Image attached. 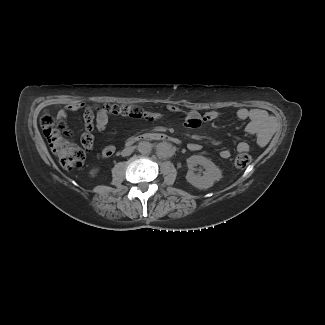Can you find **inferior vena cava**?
Listing matches in <instances>:
<instances>
[{
	"instance_id": "inferior-vena-cava-1",
	"label": "inferior vena cava",
	"mask_w": 325,
	"mask_h": 325,
	"mask_svg": "<svg viewBox=\"0 0 325 325\" xmlns=\"http://www.w3.org/2000/svg\"><path fill=\"white\" fill-rule=\"evenodd\" d=\"M132 152H133V148L132 147H128V148H125L121 152V154H122V156H129Z\"/></svg>"
}]
</instances>
